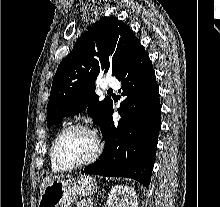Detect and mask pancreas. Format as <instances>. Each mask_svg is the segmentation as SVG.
Instances as JSON below:
<instances>
[{
  "label": "pancreas",
  "instance_id": "1",
  "mask_svg": "<svg viewBox=\"0 0 220 207\" xmlns=\"http://www.w3.org/2000/svg\"><path fill=\"white\" fill-rule=\"evenodd\" d=\"M77 207H89L88 203L85 200H81L80 202H77Z\"/></svg>",
  "mask_w": 220,
  "mask_h": 207
}]
</instances>
